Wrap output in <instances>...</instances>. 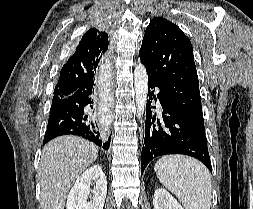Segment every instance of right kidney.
Instances as JSON below:
<instances>
[{
    "instance_id": "1",
    "label": "right kidney",
    "mask_w": 253,
    "mask_h": 209,
    "mask_svg": "<svg viewBox=\"0 0 253 209\" xmlns=\"http://www.w3.org/2000/svg\"><path fill=\"white\" fill-rule=\"evenodd\" d=\"M106 194V176L101 166L96 164L77 178L68 195L66 209H103ZM89 197L91 200L87 201Z\"/></svg>"
}]
</instances>
